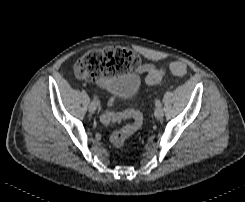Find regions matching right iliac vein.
Returning a JSON list of instances; mask_svg holds the SVG:
<instances>
[{
    "mask_svg": "<svg viewBox=\"0 0 245 202\" xmlns=\"http://www.w3.org/2000/svg\"><path fill=\"white\" fill-rule=\"evenodd\" d=\"M96 109H97V106H96V104L92 101V102L90 103V105H89V111H90L91 113H94V112L96 111Z\"/></svg>",
    "mask_w": 245,
    "mask_h": 202,
    "instance_id": "1",
    "label": "right iliac vein"
}]
</instances>
